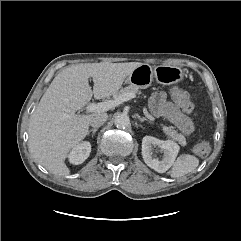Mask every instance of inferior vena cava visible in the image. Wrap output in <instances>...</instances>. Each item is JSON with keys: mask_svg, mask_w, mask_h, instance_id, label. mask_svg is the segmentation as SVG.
Listing matches in <instances>:
<instances>
[{"mask_svg": "<svg viewBox=\"0 0 241 241\" xmlns=\"http://www.w3.org/2000/svg\"><path fill=\"white\" fill-rule=\"evenodd\" d=\"M107 118H108L107 113H104V112L93 113L90 117V125L94 128H98L106 122Z\"/></svg>", "mask_w": 241, "mask_h": 241, "instance_id": "602c4592", "label": "inferior vena cava"}]
</instances>
